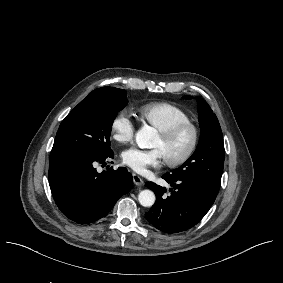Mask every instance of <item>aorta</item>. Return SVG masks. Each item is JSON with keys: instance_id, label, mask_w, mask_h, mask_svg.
I'll return each instance as SVG.
<instances>
[{"instance_id": "1", "label": "aorta", "mask_w": 283, "mask_h": 283, "mask_svg": "<svg viewBox=\"0 0 283 283\" xmlns=\"http://www.w3.org/2000/svg\"><path fill=\"white\" fill-rule=\"evenodd\" d=\"M156 135V129L144 126L137 131L136 142L140 148H151ZM138 200L142 206L151 207L154 205L156 197L153 191L146 189L139 193Z\"/></svg>"}]
</instances>
